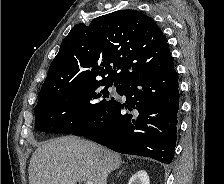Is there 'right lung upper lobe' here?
I'll list each match as a JSON object with an SVG mask.
<instances>
[{"label":"right lung upper lobe","instance_id":"right-lung-upper-lobe-1","mask_svg":"<svg viewBox=\"0 0 224 184\" xmlns=\"http://www.w3.org/2000/svg\"><path fill=\"white\" fill-rule=\"evenodd\" d=\"M173 67L166 39L149 16L136 10L115 11L71 29L50 64L38 103L71 86L122 85Z\"/></svg>","mask_w":224,"mask_h":184}]
</instances>
